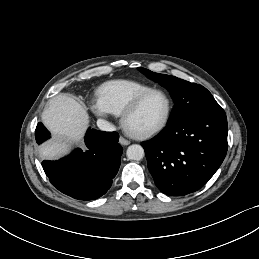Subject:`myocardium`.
Instances as JSON below:
<instances>
[{"mask_svg":"<svg viewBox=\"0 0 259 259\" xmlns=\"http://www.w3.org/2000/svg\"><path fill=\"white\" fill-rule=\"evenodd\" d=\"M154 93H161L166 98L167 107H166V112H165L163 119L155 127L148 129L146 131L135 132V131L131 130L127 126V119L138 109L140 104L148 96H150L151 94H154ZM171 112H172V100H171L170 95L163 89L152 88V89L138 95L135 99H133V101L123 110L120 121H121V125H122L123 129L126 131L127 134H129L133 138L144 139V138H148V137L158 133L159 131H161L166 126V124L170 118Z\"/></svg>","mask_w":259,"mask_h":259,"instance_id":"f54148a6","label":"myocardium"}]
</instances>
